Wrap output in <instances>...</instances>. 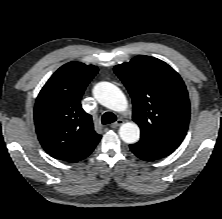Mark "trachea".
I'll use <instances>...</instances> for the list:
<instances>
[{
    "mask_svg": "<svg viewBox=\"0 0 222 219\" xmlns=\"http://www.w3.org/2000/svg\"><path fill=\"white\" fill-rule=\"evenodd\" d=\"M116 115L113 114L112 112H106L102 116V124H110L116 121Z\"/></svg>",
    "mask_w": 222,
    "mask_h": 219,
    "instance_id": "3493384b",
    "label": "trachea"
}]
</instances>
